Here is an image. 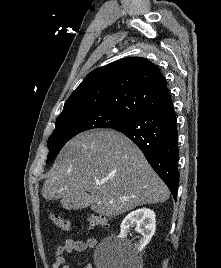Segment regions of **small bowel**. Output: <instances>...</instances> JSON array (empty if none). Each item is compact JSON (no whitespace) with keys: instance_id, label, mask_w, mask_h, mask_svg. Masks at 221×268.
Masks as SVG:
<instances>
[{"instance_id":"obj_1","label":"small bowel","mask_w":221,"mask_h":268,"mask_svg":"<svg viewBox=\"0 0 221 268\" xmlns=\"http://www.w3.org/2000/svg\"><path fill=\"white\" fill-rule=\"evenodd\" d=\"M95 238H89L85 241L67 239L59 245L54 254L53 268H70L66 262V254L71 252H83L96 246ZM83 268H93L91 264H86Z\"/></svg>"}]
</instances>
